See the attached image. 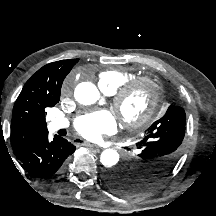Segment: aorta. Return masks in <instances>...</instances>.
Instances as JSON below:
<instances>
[{
    "label": "aorta",
    "instance_id": "762f6f07",
    "mask_svg": "<svg viewBox=\"0 0 216 216\" xmlns=\"http://www.w3.org/2000/svg\"><path fill=\"white\" fill-rule=\"evenodd\" d=\"M75 99L83 105L94 104L100 97L97 87L90 82L78 84L74 91ZM100 161L104 167L111 168L119 161V154L114 149H106L101 153Z\"/></svg>",
    "mask_w": 216,
    "mask_h": 216
}]
</instances>
